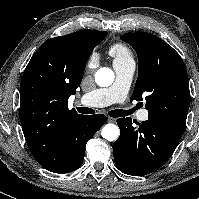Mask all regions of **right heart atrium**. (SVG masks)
Segmentation results:
<instances>
[{"mask_svg": "<svg viewBox=\"0 0 199 199\" xmlns=\"http://www.w3.org/2000/svg\"><path fill=\"white\" fill-rule=\"evenodd\" d=\"M94 59H95V56H94V55H92V56H91V58H90V62H93V61H94Z\"/></svg>", "mask_w": 199, "mask_h": 199, "instance_id": "right-heart-atrium-1", "label": "right heart atrium"}]
</instances>
